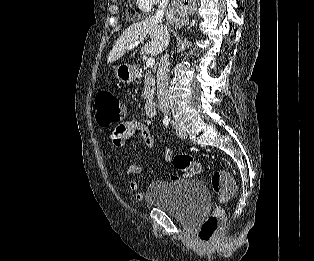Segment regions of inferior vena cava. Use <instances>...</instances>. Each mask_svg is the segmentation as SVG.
Returning a JSON list of instances; mask_svg holds the SVG:
<instances>
[{
    "mask_svg": "<svg viewBox=\"0 0 314 261\" xmlns=\"http://www.w3.org/2000/svg\"><path fill=\"white\" fill-rule=\"evenodd\" d=\"M168 0H160L155 19L161 21L164 16ZM169 55L162 56L157 70V99L158 106L164 115H170L169 95H168V63Z\"/></svg>",
    "mask_w": 314,
    "mask_h": 261,
    "instance_id": "obj_1",
    "label": "inferior vena cava"
}]
</instances>
